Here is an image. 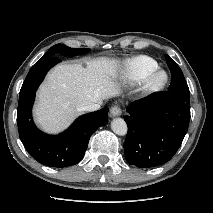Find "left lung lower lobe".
Instances as JSON below:
<instances>
[{
  "label": "left lung lower lobe",
  "instance_id": "0a47b994",
  "mask_svg": "<svg viewBox=\"0 0 213 213\" xmlns=\"http://www.w3.org/2000/svg\"><path fill=\"white\" fill-rule=\"evenodd\" d=\"M124 143L130 165L150 168L168 162L180 147L190 120L189 95L156 92L126 108Z\"/></svg>",
  "mask_w": 213,
  "mask_h": 213
}]
</instances>
